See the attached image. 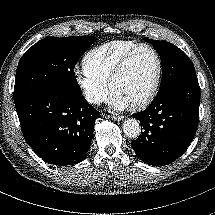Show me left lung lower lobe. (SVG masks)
<instances>
[{
  "label": "left lung lower lobe",
  "mask_w": 215,
  "mask_h": 215,
  "mask_svg": "<svg viewBox=\"0 0 215 215\" xmlns=\"http://www.w3.org/2000/svg\"><path fill=\"white\" fill-rule=\"evenodd\" d=\"M199 104L198 79L191 76L158 92L145 111L133 114L144 129L131 142L138 158L154 166L179 158L195 136Z\"/></svg>",
  "instance_id": "left-lung-lower-lobe-1"
}]
</instances>
